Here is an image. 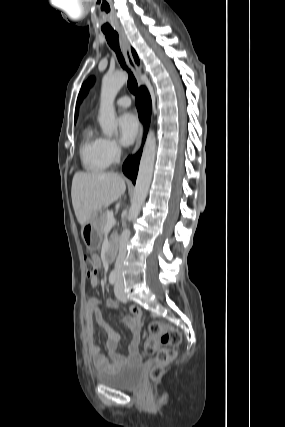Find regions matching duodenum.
<instances>
[{
	"label": "duodenum",
	"mask_w": 285,
	"mask_h": 427,
	"mask_svg": "<svg viewBox=\"0 0 285 427\" xmlns=\"http://www.w3.org/2000/svg\"><path fill=\"white\" fill-rule=\"evenodd\" d=\"M117 246H118V237L116 235H113L112 239L108 244V248L106 252V257L108 261H111L114 259L117 252Z\"/></svg>",
	"instance_id": "duodenum-1"
}]
</instances>
